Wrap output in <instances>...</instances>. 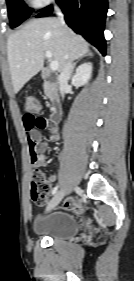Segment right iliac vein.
I'll return each mask as SVG.
<instances>
[{
    "label": "right iliac vein",
    "mask_w": 134,
    "mask_h": 281,
    "mask_svg": "<svg viewBox=\"0 0 134 281\" xmlns=\"http://www.w3.org/2000/svg\"><path fill=\"white\" fill-rule=\"evenodd\" d=\"M66 193V189L62 188L61 190H59L54 197L52 198V200L50 201V203L48 204L46 211L49 212L51 210H53L62 200V198L64 197Z\"/></svg>",
    "instance_id": "obj_1"
}]
</instances>
